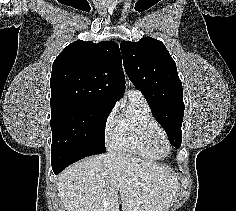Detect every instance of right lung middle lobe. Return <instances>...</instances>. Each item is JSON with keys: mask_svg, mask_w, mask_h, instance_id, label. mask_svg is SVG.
<instances>
[{"mask_svg": "<svg viewBox=\"0 0 236 211\" xmlns=\"http://www.w3.org/2000/svg\"><path fill=\"white\" fill-rule=\"evenodd\" d=\"M113 105L74 102L51 108V150L92 148L105 152L107 115Z\"/></svg>", "mask_w": 236, "mask_h": 211, "instance_id": "dd1d6c3e", "label": "right lung middle lobe"}]
</instances>
